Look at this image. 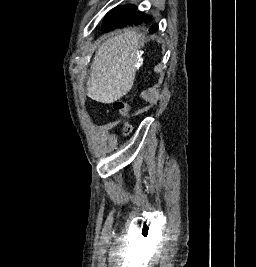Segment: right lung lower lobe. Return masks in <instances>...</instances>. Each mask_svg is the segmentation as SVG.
<instances>
[{
    "mask_svg": "<svg viewBox=\"0 0 256 267\" xmlns=\"http://www.w3.org/2000/svg\"><path fill=\"white\" fill-rule=\"evenodd\" d=\"M152 20L151 16H146L145 14L141 13V12H136L135 11L128 17L125 18L123 21H121L116 28H122L125 26H130V25H142L144 23H148ZM158 30V26L156 24H153L150 29L149 32L150 33H154Z\"/></svg>",
    "mask_w": 256,
    "mask_h": 267,
    "instance_id": "right-lung-lower-lobe-1",
    "label": "right lung lower lobe"
}]
</instances>
